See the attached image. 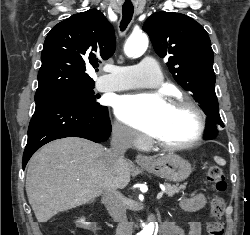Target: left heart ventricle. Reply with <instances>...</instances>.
<instances>
[{"label":"left heart ventricle","instance_id":"1","mask_svg":"<svg viewBox=\"0 0 250 235\" xmlns=\"http://www.w3.org/2000/svg\"><path fill=\"white\" fill-rule=\"evenodd\" d=\"M196 129L197 120L191 110L168 106L152 135L165 143H183L194 136Z\"/></svg>","mask_w":250,"mask_h":235}]
</instances>
